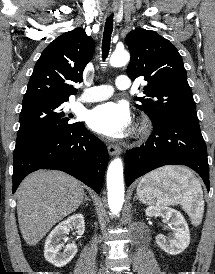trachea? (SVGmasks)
<instances>
[{
    "label": "trachea",
    "mask_w": 215,
    "mask_h": 274,
    "mask_svg": "<svg viewBox=\"0 0 215 274\" xmlns=\"http://www.w3.org/2000/svg\"><path fill=\"white\" fill-rule=\"evenodd\" d=\"M113 30V14H111L106 19L104 33H103V42H102V55L103 60L106 59L109 50H110V41H111V34Z\"/></svg>",
    "instance_id": "1"
}]
</instances>
